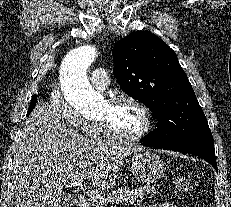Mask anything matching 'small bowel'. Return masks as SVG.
<instances>
[{
	"instance_id": "obj_1",
	"label": "small bowel",
	"mask_w": 231,
	"mask_h": 207,
	"mask_svg": "<svg viewBox=\"0 0 231 207\" xmlns=\"http://www.w3.org/2000/svg\"><path fill=\"white\" fill-rule=\"evenodd\" d=\"M148 207H177V206L171 203H161V204H154Z\"/></svg>"
}]
</instances>
